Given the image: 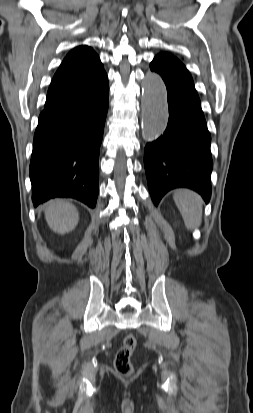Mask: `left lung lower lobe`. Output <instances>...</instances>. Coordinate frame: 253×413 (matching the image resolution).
Segmentation results:
<instances>
[{
    "instance_id": "obj_1",
    "label": "left lung lower lobe",
    "mask_w": 253,
    "mask_h": 413,
    "mask_svg": "<svg viewBox=\"0 0 253 413\" xmlns=\"http://www.w3.org/2000/svg\"><path fill=\"white\" fill-rule=\"evenodd\" d=\"M150 69L168 91L167 128L144 150V166L151 198L158 205L171 189L187 187L209 202L211 197V136L192 77L181 62L156 56Z\"/></svg>"
}]
</instances>
